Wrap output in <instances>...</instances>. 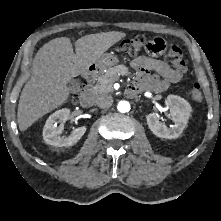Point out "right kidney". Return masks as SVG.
<instances>
[{"instance_id": "1", "label": "right kidney", "mask_w": 221, "mask_h": 221, "mask_svg": "<svg viewBox=\"0 0 221 221\" xmlns=\"http://www.w3.org/2000/svg\"><path fill=\"white\" fill-rule=\"evenodd\" d=\"M70 110L67 108L54 112L47 119L43 128L44 141L52 146L67 147L76 144L86 132V127L81 126L71 132L69 136H61L63 131V123L68 120ZM61 122L59 126L57 123Z\"/></svg>"}]
</instances>
